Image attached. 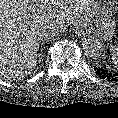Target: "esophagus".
Listing matches in <instances>:
<instances>
[{
	"label": "esophagus",
	"instance_id": "esophagus-1",
	"mask_svg": "<svg viewBox=\"0 0 118 118\" xmlns=\"http://www.w3.org/2000/svg\"><path fill=\"white\" fill-rule=\"evenodd\" d=\"M85 27H86V22L84 20H77L76 22H74L73 30L78 35L81 36V35H84Z\"/></svg>",
	"mask_w": 118,
	"mask_h": 118
}]
</instances>
